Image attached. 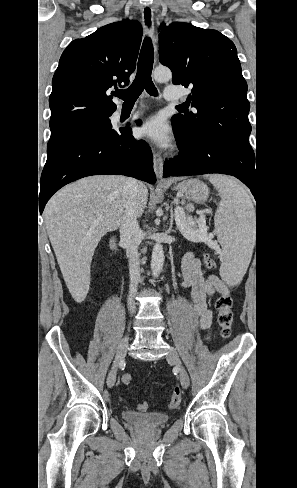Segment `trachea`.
Wrapping results in <instances>:
<instances>
[{
  "label": "trachea",
  "mask_w": 297,
  "mask_h": 488,
  "mask_svg": "<svg viewBox=\"0 0 297 488\" xmlns=\"http://www.w3.org/2000/svg\"><path fill=\"white\" fill-rule=\"evenodd\" d=\"M154 62V49L150 37L143 41L137 66L136 77L128 89L120 90L116 96L124 100V104H134L145 89L152 96H157L158 91L152 82L151 72ZM182 106L179 105L178 108Z\"/></svg>",
  "instance_id": "3493384b"
}]
</instances>
